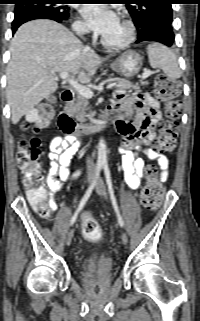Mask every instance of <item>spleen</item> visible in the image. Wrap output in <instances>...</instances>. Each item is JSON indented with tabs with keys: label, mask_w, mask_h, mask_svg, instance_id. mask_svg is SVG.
Listing matches in <instances>:
<instances>
[{
	"label": "spleen",
	"mask_w": 200,
	"mask_h": 321,
	"mask_svg": "<svg viewBox=\"0 0 200 321\" xmlns=\"http://www.w3.org/2000/svg\"><path fill=\"white\" fill-rule=\"evenodd\" d=\"M147 54L152 68L162 69L171 79L181 77L182 72L178 66L176 55L170 48L160 43H151L147 46Z\"/></svg>",
	"instance_id": "1"
}]
</instances>
